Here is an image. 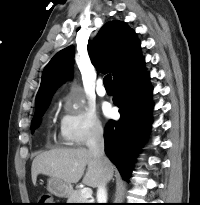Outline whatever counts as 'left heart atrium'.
<instances>
[{"label": "left heart atrium", "mask_w": 200, "mask_h": 205, "mask_svg": "<svg viewBox=\"0 0 200 205\" xmlns=\"http://www.w3.org/2000/svg\"><path fill=\"white\" fill-rule=\"evenodd\" d=\"M104 114L106 115V116H111V114H112V110H111V108L110 107H105V109H104Z\"/></svg>", "instance_id": "39dd6f15"}]
</instances>
